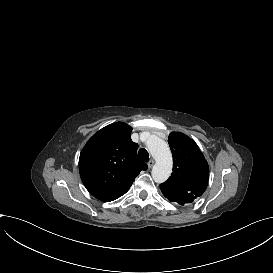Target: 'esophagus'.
<instances>
[{
    "mask_svg": "<svg viewBox=\"0 0 273 273\" xmlns=\"http://www.w3.org/2000/svg\"><path fill=\"white\" fill-rule=\"evenodd\" d=\"M154 163H155L154 159H150L149 162H148V167L152 168Z\"/></svg>",
    "mask_w": 273,
    "mask_h": 273,
    "instance_id": "34e87169",
    "label": "esophagus"
}]
</instances>
